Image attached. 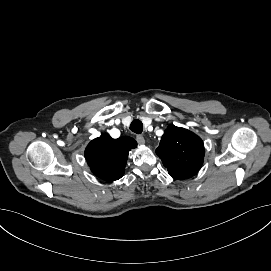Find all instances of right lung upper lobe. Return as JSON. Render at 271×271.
Segmentation results:
<instances>
[{"instance_id":"obj_1","label":"right lung upper lobe","mask_w":271,"mask_h":271,"mask_svg":"<svg viewBox=\"0 0 271 271\" xmlns=\"http://www.w3.org/2000/svg\"><path fill=\"white\" fill-rule=\"evenodd\" d=\"M136 146L137 142L131 137L113 139L108 134H102L88 144L85 158L98 178L114 181L123 176L128 153Z\"/></svg>"}]
</instances>
